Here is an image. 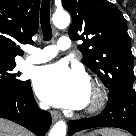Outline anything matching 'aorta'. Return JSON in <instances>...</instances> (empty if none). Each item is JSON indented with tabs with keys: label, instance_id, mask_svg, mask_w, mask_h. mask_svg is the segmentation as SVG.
Listing matches in <instances>:
<instances>
[{
	"label": "aorta",
	"instance_id": "obj_1",
	"mask_svg": "<svg viewBox=\"0 0 136 136\" xmlns=\"http://www.w3.org/2000/svg\"><path fill=\"white\" fill-rule=\"evenodd\" d=\"M52 20L57 28H65L70 23V15L65 11H56L53 14ZM66 130V123L58 121L50 130L49 136H66Z\"/></svg>",
	"mask_w": 136,
	"mask_h": 136
}]
</instances>
